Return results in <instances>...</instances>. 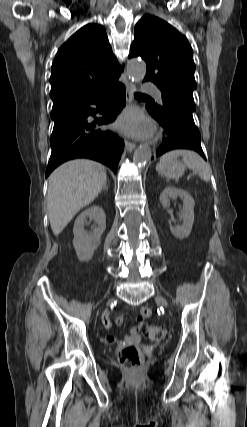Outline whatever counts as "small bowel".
<instances>
[{
    "mask_svg": "<svg viewBox=\"0 0 247 427\" xmlns=\"http://www.w3.org/2000/svg\"><path fill=\"white\" fill-rule=\"evenodd\" d=\"M151 310L148 307H143L141 309L140 315L134 320V323L130 329V333L124 337L123 342H137L140 339L139 332L142 328L143 322L146 318L150 317ZM103 326L106 329H110L112 326V322L109 318V315H104L102 317ZM115 323L117 325H121L123 323V318L121 315L116 316ZM105 341L109 344H113L118 342L117 338L113 335H109L106 337Z\"/></svg>",
    "mask_w": 247,
    "mask_h": 427,
    "instance_id": "small-bowel-1",
    "label": "small bowel"
}]
</instances>
